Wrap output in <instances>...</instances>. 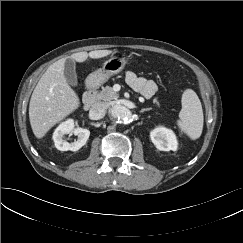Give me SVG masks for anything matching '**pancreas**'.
I'll use <instances>...</instances> for the list:
<instances>
[{
    "mask_svg": "<svg viewBox=\"0 0 243 243\" xmlns=\"http://www.w3.org/2000/svg\"><path fill=\"white\" fill-rule=\"evenodd\" d=\"M119 95L117 92L113 90L112 87L106 86L102 88V90L97 94V100H102V101H111V100H116L118 99ZM156 104L159 106V103L155 101Z\"/></svg>",
    "mask_w": 243,
    "mask_h": 243,
    "instance_id": "1",
    "label": "pancreas"
}]
</instances>
